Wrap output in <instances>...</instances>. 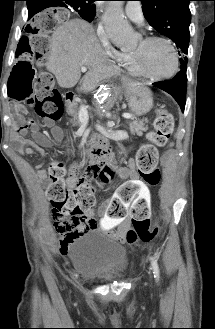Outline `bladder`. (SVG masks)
<instances>
[{
    "instance_id": "31cf9c89",
    "label": "bladder",
    "mask_w": 215,
    "mask_h": 329,
    "mask_svg": "<svg viewBox=\"0 0 215 329\" xmlns=\"http://www.w3.org/2000/svg\"><path fill=\"white\" fill-rule=\"evenodd\" d=\"M71 257L81 275L105 283L123 278L129 265L126 247L98 231L86 232L75 239Z\"/></svg>"
}]
</instances>
